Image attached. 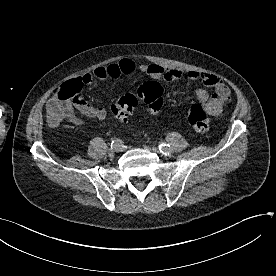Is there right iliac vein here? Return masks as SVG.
Instances as JSON below:
<instances>
[{
  "label": "right iliac vein",
  "mask_w": 276,
  "mask_h": 276,
  "mask_svg": "<svg viewBox=\"0 0 276 276\" xmlns=\"http://www.w3.org/2000/svg\"><path fill=\"white\" fill-rule=\"evenodd\" d=\"M123 150V147L120 146V147H112L108 150V153L110 155L114 154L115 152H121Z\"/></svg>",
  "instance_id": "1"
}]
</instances>
